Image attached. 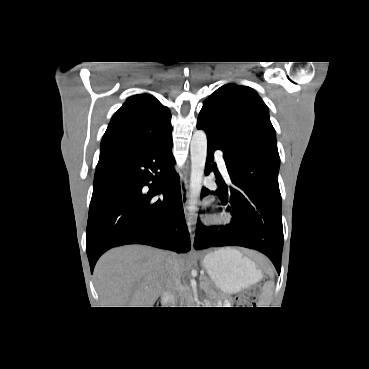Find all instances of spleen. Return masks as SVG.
<instances>
[{"label":"spleen","instance_id":"obj_1","mask_svg":"<svg viewBox=\"0 0 369 369\" xmlns=\"http://www.w3.org/2000/svg\"><path fill=\"white\" fill-rule=\"evenodd\" d=\"M271 277H273L272 274H270ZM273 284L271 282H268L263 287V293L260 300V305H264L263 307H268L270 302V295L272 290Z\"/></svg>","mask_w":369,"mask_h":369}]
</instances>
